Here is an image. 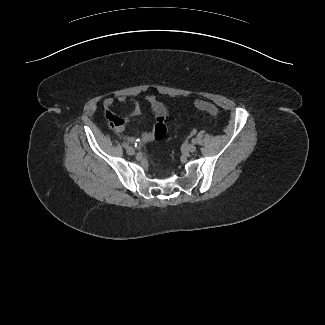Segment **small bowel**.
<instances>
[{
	"label": "small bowel",
	"instance_id": "small-bowel-1",
	"mask_svg": "<svg viewBox=\"0 0 325 325\" xmlns=\"http://www.w3.org/2000/svg\"><path fill=\"white\" fill-rule=\"evenodd\" d=\"M117 102L125 104L129 103L131 105L130 114L139 115L141 113V107L137 100L126 97L118 96ZM113 98L109 97L104 100V108L106 110V118L108 119L111 127L118 133H122L125 130V123L127 119L120 118L111 112V109L116 102ZM146 102L149 105L150 111L154 117V122L152 129L143 134L142 138L144 141H151L152 139H161L166 133V121L169 115L168 107L157 101L154 97L148 96ZM132 140V139H131Z\"/></svg>",
	"mask_w": 325,
	"mask_h": 325
}]
</instances>
